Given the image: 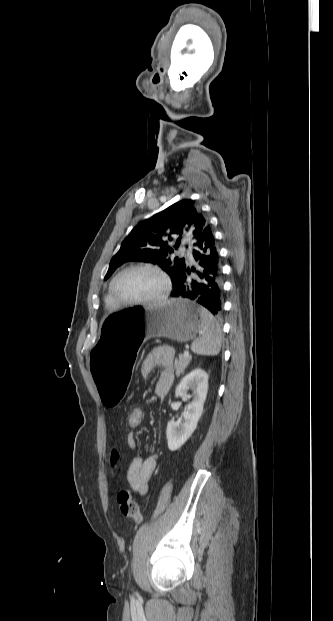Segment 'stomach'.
I'll list each match as a JSON object with an SVG mask.
<instances>
[{
    "instance_id": "obj_1",
    "label": "stomach",
    "mask_w": 333,
    "mask_h": 621,
    "mask_svg": "<svg viewBox=\"0 0 333 621\" xmlns=\"http://www.w3.org/2000/svg\"><path fill=\"white\" fill-rule=\"evenodd\" d=\"M101 333L91 347L92 378L102 409H118L132 384L133 362L141 342L153 337L188 342L201 331V307L186 299L134 306L106 314Z\"/></svg>"
}]
</instances>
